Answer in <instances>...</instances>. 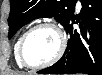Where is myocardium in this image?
Here are the masks:
<instances>
[{
	"label": "myocardium",
	"mask_w": 102,
	"mask_h": 75,
	"mask_svg": "<svg viewBox=\"0 0 102 75\" xmlns=\"http://www.w3.org/2000/svg\"><path fill=\"white\" fill-rule=\"evenodd\" d=\"M43 27L51 28L57 33V35L59 37L60 45H59V49H58L56 55L53 58H51L50 60H48L44 63L34 65V64L30 63L25 56V43L34 31H36L39 28H43ZM66 46H67V38H66V35L64 34L63 30L53 21L44 20V21H40V22L33 24L23 34V36L20 40V44H19V56H20V59L23 62V64H25L26 66L34 67V68L46 67V66L54 64L62 57V55L65 52Z\"/></svg>",
	"instance_id": "1"
}]
</instances>
